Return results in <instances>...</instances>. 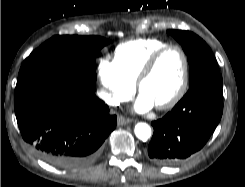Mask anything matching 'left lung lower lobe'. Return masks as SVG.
<instances>
[{"label":"left lung lower lobe","mask_w":245,"mask_h":187,"mask_svg":"<svg viewBox=\"0 0 245 187\" xmlns=\"http://www.w3.org/2000/svg\"><path fill=\"white\" fill-rule=\"evenodd\" d=\"M223 112L222 76L215 74L190 86L171 112L152 122L147 157L169 165L199 151L217 127Z\"/></svg>","instance_id":"0a47b994"}]
</instances>
